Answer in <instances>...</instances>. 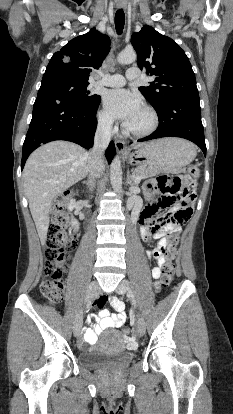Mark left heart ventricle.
Listing matches in <instances>:
<instances>
[{
    "label": "left heart ventricle",
    "mask_w": 233,
    "mask_h": 414,
    "mask_svg": "<svg viewBox=\"0 0 233 414\" xmlns=\"http://www.w3.org/2000/svg\"><path fill=\"white\" fill-rule=\"evenodd\" d=\"M150 123L149 115L142 110L127 126L133 130H143Z\"/></svg>",
    "instance_id": "b2bd125f"
}]
</instances>
